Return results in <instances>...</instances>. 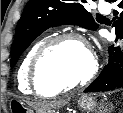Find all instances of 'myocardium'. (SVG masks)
<instances>
[{
  "label": "myocardium",
  "instance_id": "1",
  "mask_svg": "<svg viewBox=\"0 0 123 113\" xmlns=\"http://www.w3.org/2000/svg\"><path fill=\"white\" fill-rule=\"evenodd\" d=\"M65 41L77 42L87 50L91 60V68L83 78L71 84H61L52 87H45L39 77L40 63L53 49H55L60 43ZM97 69H98L97 61L94 55L92 54V52L90 51L86 39L77 33H64L46 40L36 50L29 66V73H28L29 82L31 86L40 93L66 92V91L73 90L77 87L83 86L86 83L90 82L95 77L97 73Z\"/></svg>",
  "mask_w": 123,
  "mask_h": 113
}]
</instances>
